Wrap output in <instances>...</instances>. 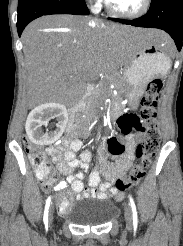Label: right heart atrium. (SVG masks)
<instances>
[{"instance_id":"right-heart-atrium-1","label":"right heart atrium","mask_w":183,"mask_h":246,"mask_svg":"<svg viewBox=\"0 0 183 246\" xmlns=\"http://www.w3.org/2000/svg\"><path fill=\"white\" fill-rule=\"evenodd\" d=\"M88 1L94 3L95 5H98L101 0H88Z\"/></svg>"}]
</instances>
